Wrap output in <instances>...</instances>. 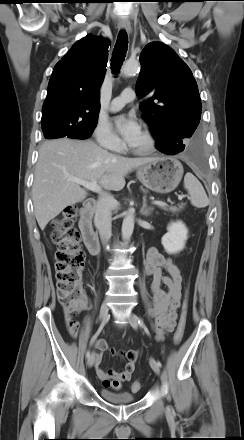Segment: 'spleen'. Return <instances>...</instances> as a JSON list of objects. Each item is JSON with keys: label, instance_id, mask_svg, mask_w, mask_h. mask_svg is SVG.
<instances>
[{"label": "spleen", "instance_id": "obj_1", "mask_svg": "<svg viewBox=\"0 0 244 440\" xmlns=\"http://www.w3.org/2000/svg\"><path fill=\"white\" fill-rule=\"evenodd\" d=\"M184 188L189 192V199L194 207L204 208L209 205V199L202 184L192 173L185 175Z\"/></svg>", "mask_w": 244, "mask_h": 440}]
</instances>
